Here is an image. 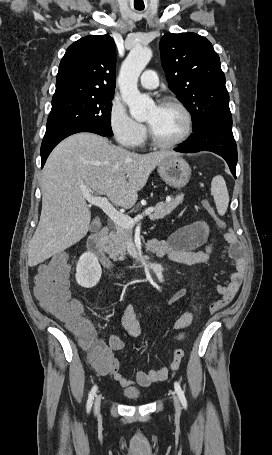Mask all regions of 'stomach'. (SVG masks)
<instances>
[{"label":"stomach","mask_w":272,"mask_h":455,"mask_svg":"<svg viewBox=\"0 0 272 455\" xmlns=\"http://www.w3.org/2000/svg\"><path fill=\"white\" fill-rule=\"evenodd\" d=\"M157 171L166 184L175 187H184L190 179L191 168L180 156H168L159 164Z\"/></svg>","instance_id":"0dacf381"}]
</instances>
